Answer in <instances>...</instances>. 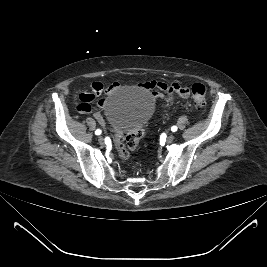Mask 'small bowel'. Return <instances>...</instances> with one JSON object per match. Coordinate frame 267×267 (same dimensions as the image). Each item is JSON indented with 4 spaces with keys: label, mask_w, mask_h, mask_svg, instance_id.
Masks as SVG:
<instances>
[{
    "label": "small bowel",
    "mask_w": 267,
    "mask_h": 267,
    "mask_svg": "<svg viewBox=\"0 0 267 267\" xmlns=\"http://www.w3.org/2000/svg\"><path fill=\"white\" fill-rule=\"evenodd\" d=\"M144 89L151 90V98L155 102L163 98V93L176 92L181 97H187L189 95V90L186 87H182L177 83H167L160 80H151L140 84ZM116 88V85L104 86L100 82H94L91 85V90L89 92L81 93L79 95L77 110L82 113H92L94 117L99 121H103V116L100 110L94 109L91 106V102L99 97L102 93H110ZM99 107L102 108L105 105V100L99 101Z\"/></svg>",
    "instance_id": "small-bowel-1"
}]
</instances>
